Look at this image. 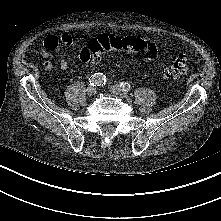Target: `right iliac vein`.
<instances>
[{"instance_id": "right-iliac-vein-1", "label": "right iliac vein", "mask_w": 221, "mask_h": 221, "mask_svg": "<svg viewBox=\"0 0 221 221\" xmlns=\"http://www.w3.org/2000/svg\"><path fill=\"white\" fill-rule=\"evenodd\" d=\"M97 89L94 86H89L87 88V95L88 96H93L96 93Z\"/></svg>"}]
</instances>
